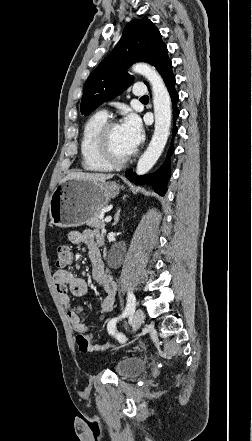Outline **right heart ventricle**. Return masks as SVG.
Returning a JSON list of instances; mask_svg holds the SVG:
<instances>
[{
	"mask_svg": "<svg viewBox=\"0 0 252 441\" xmlns=\"http://www.w3.org/2000/svg\"><path fill=\"white\" fill-rule=\"evenodd\" d=\"M107 120V115L102 112H97L93 114L83 126L80 140V154L82 167L85 171L107 172L111 170V168L98 157L95 151L96 134Z\"/></svg>",
	"mask_w": 252,
	"mask_h": 441,
	"instance_id": "e07e8e85",
	"label": "right heart ventricle"
}]
</instances>
